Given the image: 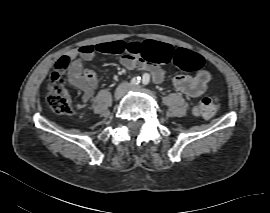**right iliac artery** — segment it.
Here are the masks:
<instances>
[{"label":"right iliac artery","instance_id":"obj_1","mask_svg":"<svg viewBox=\"0 0 270 213\" xmlns=\"http://www.w3.org/2000/svg\"><path fill=\"white\" fill-rule=\"evenodd\" d=\"M140 80H141V78H140L139 76H135V77H133V78L131 79L130 83H131L132 85H137V84H139Z\"/></svg>","mask_w":270,"mask_h":213}]
</instances>
